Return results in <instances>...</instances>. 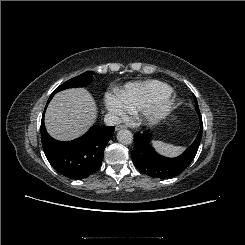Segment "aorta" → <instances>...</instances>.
Segmentation results:
<instances>
[{
    "label": "aorta",
    "mask_w": 245,
    "mask_h": 245,
    "mask_svg": "<svg viewBox=\"0 0 245 245\" xmlns=\"http://www.w3.org/2000/svg\"><path fill=\"white\" fill-rule=\"evenodd\" d=\"M117 140L124 145H129L133 142V134L127 129H122L117 133Z\"/></svg>",
    "instance_id": "1"
}]
</instances>
